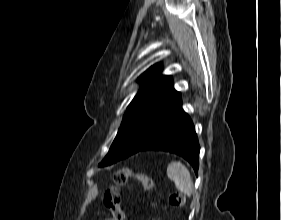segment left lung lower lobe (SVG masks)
Wrapping results in <instances>:
<instances>
[{
    "label": "left lung lower lobe",
    "instance_id": "0a47b994",
    "mask_svg": "<svg viewBox=\"0 0 281 220\" xmlns=\"http://www.w3.org/2000/svg\"><path fill=\"white\" fill-rule=\"evenodd\" d=\"M155 150L177 154L198 172L200 146L191 118L182 109L181 99L169 110L151 139L139 151Z\"/></svg>",
    "mask_w": 281,
    "mask_h": 220
}]
</instances>
